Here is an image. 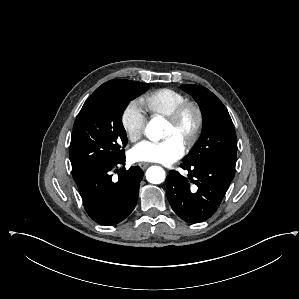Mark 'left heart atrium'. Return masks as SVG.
Wrapping results in <instances>:
<instances>
[{"mask_svg":"<svg viewBox=\"0 0 299 299\" xmlns=\"http://www.w3.org/2000/svg\"><path fill=\"white\" fill-rule=\"evenodd\" d=\"M184 152L183 143L175 137H170L159 142H139L130 150L129 158L134 162H158L168 165L179 160Z\"/></svg>","mask_w":299,"mask_h":299,"instance_id":"39dd6f15","label":"left heart atrium"}]
</instances>
